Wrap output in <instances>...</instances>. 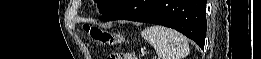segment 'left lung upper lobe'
I'll return each instance as SVG.
<instances>
[{
    "instance_id": "1",
    "label": "left lung upper lobe",
    "mask_w": 261,
    "mask_h": 59,
    "mask_svg": "<svg viewBox=\"0 0 261 59\" xmlns=\"http://www.w3.org/2000/svg\"><path fill=\"white\" fill-rule=\"evenodd\" d=\"M98 2L99 12L105 14L122 0H95Z\"/></svg>"
}]
</instances>
